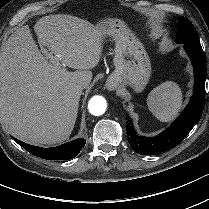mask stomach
<instances>
[{"mask_svg":"<svg viewBox=\"0 0 209 209\" xmlns=\"http://www.w3.org/2000/svg\"><path fill=\"white\" fill-rule=\"evenodd\" d=\"M97 27L103 36L115 40V70L107 80L108 88L131 86L136 92L144 90L151 76V63L143 44L120 19L105 18Z\"/></svg>","mask_w":209,"mask_h":209,"instance_id":"1","label":"stomach"}]
</instances>
